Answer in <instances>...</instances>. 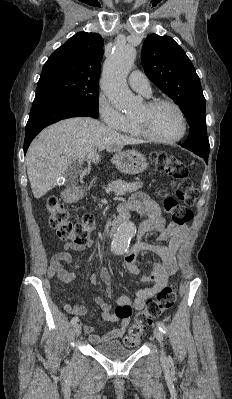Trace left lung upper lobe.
I'll return each instance as SVG.
<instances>
[{
    "instance_id": "left-lung-upper-lobe-1",
    "label": "left lung upper lobe",
    "mask_w": 232,
    "mask_h": 399,
    "mask_svg": "<svg viewBox=\"0 0 232 399\" xmlns=\"http://www.w3.org/2000/svg\"><path fill=\"white\" fill-rule=\"evenodd\" d=\"M142 65L147 77L179 105L190 126L182 147L209 155L206 100L200 79L184 50L169 36L149 35L143 44Z\"/></svg>"
}]
</instances>
